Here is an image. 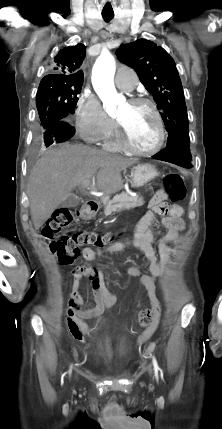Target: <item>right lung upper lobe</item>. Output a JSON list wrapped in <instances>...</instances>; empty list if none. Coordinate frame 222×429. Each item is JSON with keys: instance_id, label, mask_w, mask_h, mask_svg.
Returning <instances> with one entry per match:
<instances>
[{"instance_id": "obj_1", "label": "right lung upper lobe", "mask_w": 222, "mask_h": 429, "mask_svg": "<svg viewBox=\"0 0 222 429\" xmlns=\"http://www.w3.org/2000/svg\"><path fill=\"white\" fill-rule=\"evenodd\" d=\"M86 53L82 44L61 49L53 60V74L42 79L44 82H73L83 83L84 74L79 70Z\"/></svg>"}]
</instances>
